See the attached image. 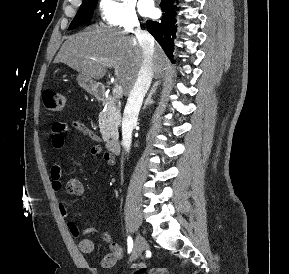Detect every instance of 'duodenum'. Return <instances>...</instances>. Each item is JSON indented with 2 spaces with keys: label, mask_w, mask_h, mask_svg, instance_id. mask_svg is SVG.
I'll use <instances>...</instances> for the list:
<instances>
[{
  "label": "duodenum",
  "mask_w": 289,
  "mask_h": 274,
  "mask_svg": "<svg viewBox=\"0 0 289 274\" xmlns=\"http://www.w3.org/2000/svg\"><path fill=\"white\" fill-rule=\"evenodd\" d=\"M96 95L100 99H104L106 97V90L105 87L99 86L96 89ZM107 149L112 153V154H119L120 152V142L116 138H111L107 141L106 143Z\"/></svg>",
  "instance_id": "1"
}]
</instances>
